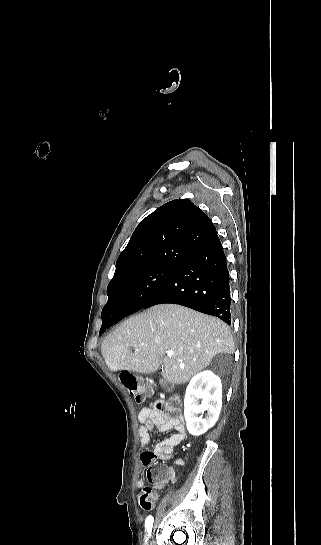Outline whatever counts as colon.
<instances>
[{
  "instance_id": "1",
  "label": "colon",
  "mask_w": 321,
  "mask_h": 545,
  "mask_svg": "<svg viewBox=\"0 0 321 545\" xmlns=\"http://www.w3.org/2000/svg\"><path fill=\"white\" fill-rule=\"evenodd\" d=\"M120 382L127 389L129 394L135 399L136 402L141 403L144 401L146 395L149 392L147 386L143 385L140 380L131 372L122 371L120 373ZM149 455L152 453L148 452ZM162 477V471L156 472L154 479L156 484H161L159 480ZM156 501V492L151 487H143L139 493V502L143 509L150 510Z\"/></svg>"
}]
</instances>
